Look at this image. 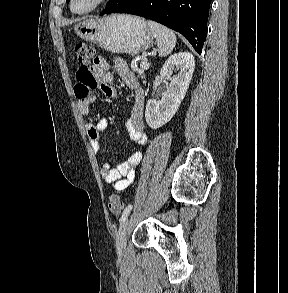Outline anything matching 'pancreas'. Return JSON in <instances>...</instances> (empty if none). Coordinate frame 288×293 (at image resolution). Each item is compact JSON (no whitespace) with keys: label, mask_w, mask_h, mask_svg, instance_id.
I'll list each match as a JSON object with an SVG mask.
<instances>
[{"label":"pancreas","mask_w":288,"mask_h":293,"mask_svg":"<svg viewBox=\"0 0 288 293\" xmlns=\"http://www.w3.org/2000/svg\"><path fill=\"white\" fill-rule=\"evenodd\" d=\"M131 68H132V70L134 71V72H137L138 73V76L139 77H143L144 76V71L146 70L145 68H137L136 66H135V64L132 62L131 63Z\"/></svg>","instance_id":"obj_1"}]
</instances>
